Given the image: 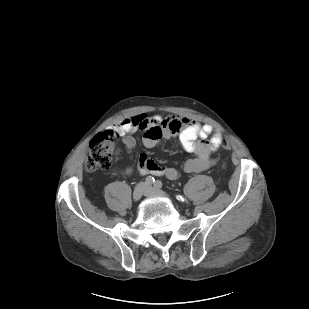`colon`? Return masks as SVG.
<instances>
[{"label":"colon","mask_w":309,"mask_h":309,"mask_svg":"<svg viewBox=\"0 0 309 309\" xmlns=\"http://www.w3.org/2000/svg\"><path fill=\"white\" fill-rule=\"evenodd\" d=\"M112 140L113 138L106 134L92 139L88 146L84 162L86 171L94 172L110 168L116 153ZM220 147L228 150L231 148V144L226 140H221Z\"/></svg>","instance_id":"5ec220e1"}]
</instances>
